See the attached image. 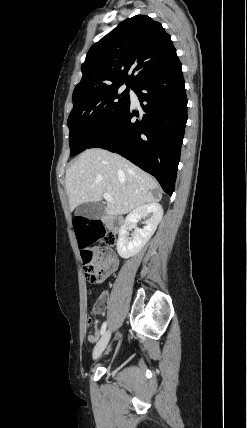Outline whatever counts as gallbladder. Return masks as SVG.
<instances>
[{
  "instance_id": "obj_1",
  "label": "gallbladder",
  "mask_w": 247,
  "mask_h": 428,
  "mask_svg": "<svg viewBox=\"0 0 247 428\" xmlns=\"http://www.w3.org/2000/svg\"><path fill=\"white\" fill-rule=\"evenodd\" d=\"M105 208L106 205L101 202H86L77 207L75 214L90 220H95L104 215Z\"/></svg>"
}]
</instances>
